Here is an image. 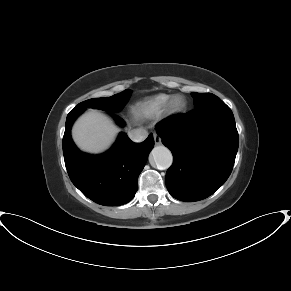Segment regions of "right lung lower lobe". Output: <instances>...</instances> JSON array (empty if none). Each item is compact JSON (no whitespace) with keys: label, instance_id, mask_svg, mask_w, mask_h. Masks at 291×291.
I'll return each mask as SVG.
<instances>
[{"label":"right lung lower lobe","instance_id":"98d812e1","mask_svg":"<svg viewBox=\"0 0 291 291\" xmlns=\"http://www.w3.org/2000/svg\"><path fill=\"white\" fill-rule=\"evenodd\" d=\"M85 109H72L67 115L63 137V154L72 183L89 199L104 205L118 206L133 199L138 189V176L154 146L152 134L142 143H133L121 132L106 153L93 156L81 152L71 138L74 120ZM116 122L124 121L110 112Z\"/></svg>","mask_w":291,"mask_h":291}]
</instances>
